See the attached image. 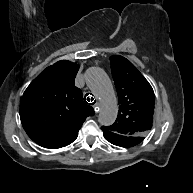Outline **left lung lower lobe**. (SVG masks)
<instances>
[{
    "mask_svg": "<svg viewBox=\"0 0 193 193\" xmlns=\"http://www.w3.org/2000/svg\"><path fill=\"white\" fill-rule=\"evenodd\" d=\"M103 130L104 137L112 144L121 146V147H132L137 145L141 141H133L126 136L116 134L109 130Z\"/></svg>",
    "mask_w": 193,
    "mask_h": 193,
    "instance_id": "left-lung-lower-lobe-1",
    "label": "left lung lower lobe"
}]
</instances>
